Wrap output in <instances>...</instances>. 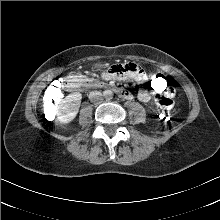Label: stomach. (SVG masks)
<instances>
[{"label":"stomach","instance_id":"stomach-1","mask_svg":"<svg viewBox=\"0 0 220 220\" xmlns=\"http://www.w3.org/2000/svg\"><path fill=\"white\" fill-rule=\"evenodd\" d=\"M102 68V65L101 64H95L94 65V69H101Z\"/></svg>","mask_w":220,"mask_h":220}]
</instances>
